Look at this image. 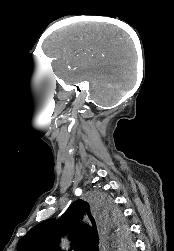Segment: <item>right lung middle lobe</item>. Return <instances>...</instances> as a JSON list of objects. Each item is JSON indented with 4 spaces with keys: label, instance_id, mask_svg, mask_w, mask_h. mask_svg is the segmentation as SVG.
Returning a JSON list of instances; mask_svg holds the SVG:
<instances>
[{
    "label": "right lung middle lobe",
    "instance_id": "right-lung-middle-lobe-1",
    "mask_svg": "<svg viewBox=\"0 0 174 251\" xmlns=\"http://www.w3.org/2000/svg\"><path fill=\"white\" fill-rule=\"evenodd\" d=\"M94 207L103 228L113 237V246L126 250L129 244L122 241V236L127 233V227L123 222L121 212L113 205L111 199L102 193L94 196Z\"/></svg>",
    "mask_w": 174,
    "mask_h": 251
}]
</instances>
